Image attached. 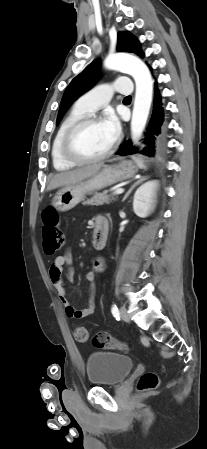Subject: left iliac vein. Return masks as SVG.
I'll list each match as a JSON object with an SVG mask.
<instances>
[{
  "mask_svg": "<svg viewBox=\"0 0 207 449\" xmlns=\"http://www.w3.org/2000/svg\"><path fill=\"white\" fill-rule=\"evenodd\" d=\"M120 316L121 319L124 320L125 322H129L130 321V316L127 312V309L125 307H121L120 309Z\"/></svg>",
  "mask_w": 207,
  "mask_h": 449,
  "instance_id": "1",
  "label": "left iliac vein"
}]
</instances>
